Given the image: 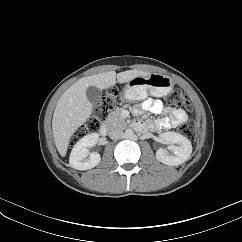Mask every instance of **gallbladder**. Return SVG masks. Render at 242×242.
Here are the masks:
<instances>
[{"instance_id": "1", "label": "gallbladder", "mask_w": 242, "mask_h": 242, "mask_svg": "<svg viewBox=\"0 0 242 242\" xmlns=\"http://www.w3.org/2000/svg\"><path fill=\"white\" fill-rule=\"evenodd\" d=\"M86 95L88 100L93 104V105H98L100 104L101 101V94L100 91L97 87L95 86H89L86 90Z\"/></svg>"}]
</instances>
